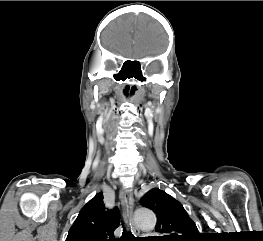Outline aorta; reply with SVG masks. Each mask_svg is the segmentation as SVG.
<instances>
[{"label": "aorta", "instance_id": "762f6f07", "mask_svg": "<svg viewBox=\"0 0 263 241\" xmlns=\"http://www.w3.org/2000/svg\"><path fill=\"white\" fill-rule=\"evenodd\" d=\"M135 220L137 225L143 230H153L156 225V217L152 210L148 208H138L135 211Z\"/></svg>", "mask_w": 263, "mask_h": 241}]
</instances>
